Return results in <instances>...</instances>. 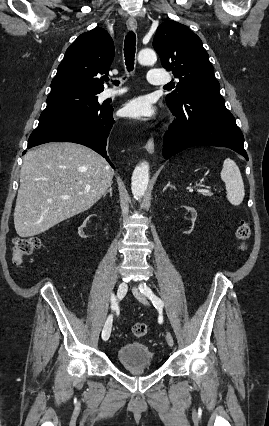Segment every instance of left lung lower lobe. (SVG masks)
I'll return each instance as SVG.
<instances>
[{
    "instance_id": "left-lung-lower-lobe-1",
    "label": "left lung lower lobe",
    "mask_w": 269,
    "mask_h": 426,
    "mask_svg": "<svg viewBox=\"0 0 269 426\" xmlns=\"http://www.w3.org/2000/svg\"><path fill=\"white\" fill-rule=\"evenodd\" d=\"M168 106L176 118L164 135L166 159L189 147L209 145L230 148L248 160L243 134L219 91H197Z\"/></svg>"
}]
</instances>
